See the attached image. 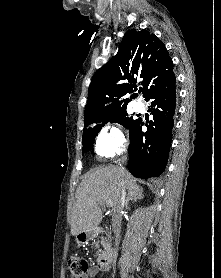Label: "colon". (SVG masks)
Returning a JSON list of instances; mask_svg holds the SVG:
<instances>
[{"instance_id": "colon-1", "label": "colon", "mask_w": 221, "mask_h": 278, "mask_svg": "<svg viewBox=\"0 0 221 278\" xmlns=\"http://www.w3.org/2000/svg\"><path fill=\"white\" fill-rule=\"evenodd\" d=\"M68 267L72 278H86L90 270L89 261L79 257L71 258Z\"/></svg>"}]
</instances>
